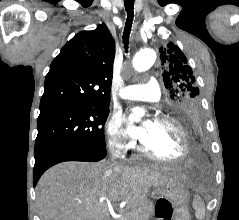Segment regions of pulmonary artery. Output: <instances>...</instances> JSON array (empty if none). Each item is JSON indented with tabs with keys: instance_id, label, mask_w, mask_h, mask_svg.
Instances as JSON below:
<instances>
[{
	"instance_id": "obj_1",
	"label": "pulmonary artery",
	"mask_w": 239,
	"mask_h": 220,
	"mask_svg": "<svg viewBox=\"0 0 239 220\" xmlns=\"http://www.w3.org/2000/svg\"><path fill=\"white\" fill-rule=\"evenodd\" d=\"M160 95L161 91L159 84L154 78L142 84L124 87L119 93L122 99L139 101H158Z\"/></svg>"
}]
</instances>
